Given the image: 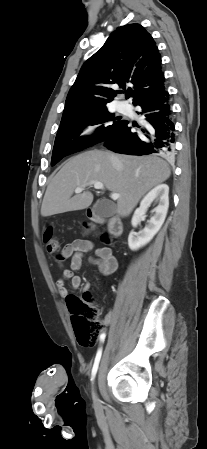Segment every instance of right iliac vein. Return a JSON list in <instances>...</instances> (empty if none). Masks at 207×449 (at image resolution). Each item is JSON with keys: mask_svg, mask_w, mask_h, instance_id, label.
I'll list each match as a JSON object with an SVG mask.
<instances>
[{"mask_svg": "<svg viewBox=\"0 0 207 449\" xmlns=\"http://www.w3.org/2000/svg\"><path fill=\"white\" fill-rule=\"evenodd\" d=\"M94 400H95V403H96V405H98V398H97V395H96V393L94 392Z\"/></svg>", "mask_w": 207, "mask_h": 449, "instance_id": "63e3f726", "label": "right iliac vein"}]
</instances>
